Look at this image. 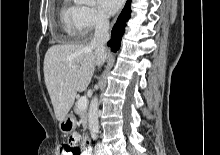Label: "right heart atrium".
Instances as JSON below:
<instances>
[{"label": "right heart atrium", "mask_w": 220, "mask_h": 155, "mask_svg": "<svg viewBox=\"0 0 220 155\" xmlns=\"http://www.w3.org/2000/svg\"><path fill=\"white\" fill-rule=\"evenodd\" d=\"M80 24L82 34L89 35L107 27L108 18L94 7H83Z\"/></svg>", "instance_id": "right-heart-atrium-1"}]
</instances>
